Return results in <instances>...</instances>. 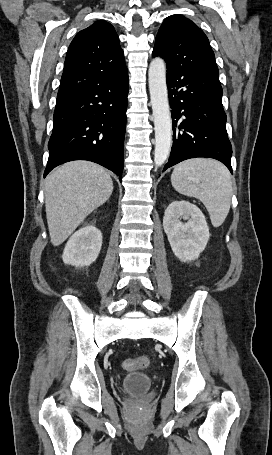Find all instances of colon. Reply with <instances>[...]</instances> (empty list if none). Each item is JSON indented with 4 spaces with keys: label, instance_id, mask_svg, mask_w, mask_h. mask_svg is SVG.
<instances>
[{
    "label": "colon",
    "instance_id": "5ec220e1",
    "mask_svg": "<svg viewBox=\"0 0 272 455\" xmlns=\"http://www.w3.org/2000/svg\"><path fill=\"white\" fill-rule=\"evenodd\" d=\"M149 365V359L145 356L138 358L126 359L122 366L127 371H133L136 369H144Z\"/></svg>",
    "mask_w": 272,
    "mask_h": 455
}]
</instances>
